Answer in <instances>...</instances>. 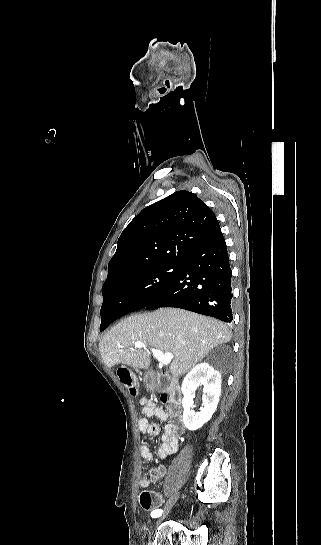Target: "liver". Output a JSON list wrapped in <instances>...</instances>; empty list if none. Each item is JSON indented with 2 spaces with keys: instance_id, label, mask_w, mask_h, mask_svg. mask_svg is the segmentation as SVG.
<instances>
[{
  "instance_id": "obj_1",
  "label": "liver",
  "mask_w": 321,
  "mask_h": 545,
  "mask_svg": "<svg viewBox=\"0 0 321 545\" xmlns=\"http://www.w3.org/2000/svg\"><path fill=\"white\" fill-rule=\"evenodd\" d=\"M231 337L227 325L216 319L183 309H158L123 319L102 337L99 349L107 367L121 363L148 369L152 363L149 351L133 347L135 341H141L161 353H172L170 373L180 377L200 363L211 349L229 343Z\"/></svg>"
}]
</instances>
